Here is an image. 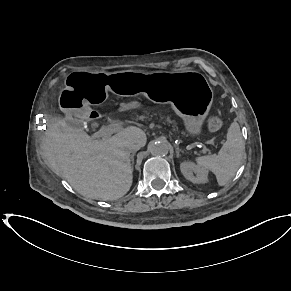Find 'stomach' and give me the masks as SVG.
<instances>
[{
  "label": "stomach",
  "mask_w": 291,
  "mask_h": 291,
  "mask_svg": "<svg viewBox=\"0 0 291 291\" xmlns=\"http://www.w3.org/2000/svg\"><path fill=\"white\" fill-rule=\"evenodd\" d=\"M131 96L144 94L156 102H169L189 134L202 132L213 103V91L206 78L196 71L73 72L61 91L60 109L78 118L88 114L89 105L105 101L109 92Z\"/></svg>",
  "instance_id": "1"
}]
</instances>
